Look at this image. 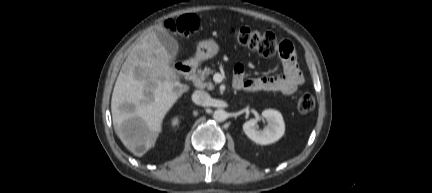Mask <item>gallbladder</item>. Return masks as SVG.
I'll list each match as a JSON object with an SVG mask.
<instances>
[{
  "mask_svg": "<svg viewBox=\"0 0 432 193\" xmlns=\"http://www.w3.org/2000/svg\"><path fill=\"white\" fill-rule=\"evenodd\" d=\"M155 34L160 43L166 49L169 55V60L174 61L179 51L178 42L164 29H157Z\"/></svg>",
  "mask_w": 432,
  "mask_h": 193,
  "instance_id": "obj_1",
  "label": "gallbladder"
}]
</instances>
